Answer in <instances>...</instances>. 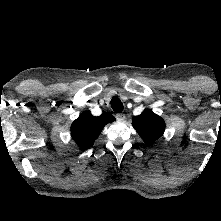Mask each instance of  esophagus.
Listing matches in <instances>:
<instances>
[{
  "label": "esophagus",
  "instance_id": "1",
  "mask_svg": "<svg viewBox=\"0 0 221 221\" xmlns=\"http://www.w3.org/2000/svg\"><path fill=\"white\" fill-rule=\"evenodd\" d=\"M116 118L119 120V121H124L126 119V116L125 114L123 113H117L116 114Z\"/></svg>",
  "mask_w": 221,
  "mask_h": 221
}]
</instances>
